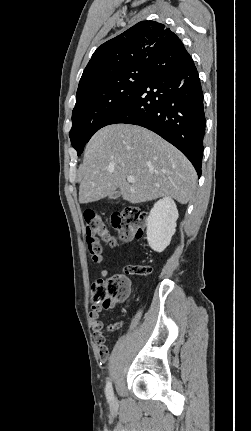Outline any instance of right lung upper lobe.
Wrapping results in <instances>:
<instances>
[{"mask_svg":"<svg viewBox=\"0 0 251 431\" xmlns=\"http://www.w3.org/2000/svg\"><path fill=\"white\" fill-rule=\"evenodd\" d=\"M181 40L164 24L141 21L99 46L87 64L77 92L134 66H148L158 55L183 48Z\"/></svg>","mask_w":251,"mask_h":431,"instance_id":"right-lung-upper-lobe-1","label":"right lung upper lobe"}]
</instances>
